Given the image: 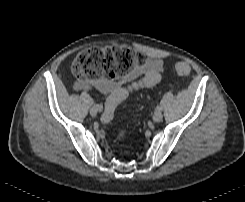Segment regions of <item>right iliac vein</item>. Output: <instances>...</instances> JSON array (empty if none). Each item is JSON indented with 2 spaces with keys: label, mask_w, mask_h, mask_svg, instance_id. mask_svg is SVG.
Returning <instances> with one entry per match:
<instances>
[{
  "label": "right iliac vein",
  "mask_w": 245,
  "mask_h": 202,
  "mask_svg": "<svg viewBox=\"0 0 245 202\" xmlns=\"http://www.w3.org/2000/svg\"><path fill=\"white\" fill-rule=\"evenodd\" d=\"M99 111H100V109L97 107V105H94V106H92L91 109H90V114H91L92 116H95Z\"/></svg>",
  "instance_id": "obj_1"
}]
</instances>
